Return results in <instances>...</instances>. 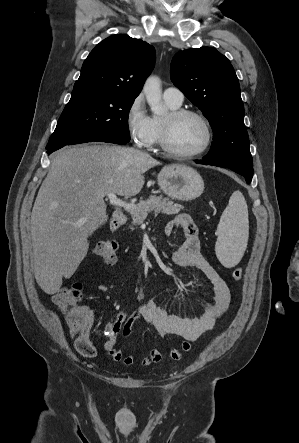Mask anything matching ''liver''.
Here are the masks:
<instances>
[{
	"mask_svg": "<svg viewBox=\"0 0 299 443\" xmlns=\"http://www.w3.org/2000/svg\"><path fill=\"white\" fill-rule=\"evenodd\" d=\"M157 165L146 152L105 144L55 154L31 214L34 275L45 293L58 292L85 258L89 236L108 219L104 197L139 194Z\"/></svg>",
	"mask_w": 299,
	"mask_h": 443,
	"instance_id": "1",
	"label": "liver"
}]
</instances>
